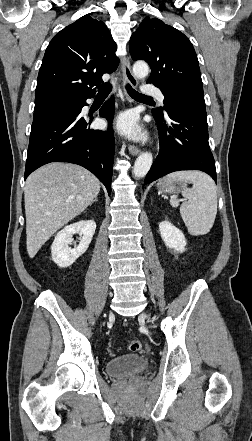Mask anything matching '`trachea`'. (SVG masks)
<instances>
[{
  "label": "trachea",
  "mask_w": 252,
  "mask_h": 441,
  "mask_svg": "<svg viewBox=\"0 0 252 441\" xmlns=\"http://www.w3.org/2000/svg\"><path fill=\"white\" fill-rule=\"evenodd\" d=\"M128 94L134 99H142V100H152V97L145 96L137 91H135L129 84L125 86ZM112 90V85L107 82L98 87V96L106 97Z\"/></svg>",
  "instance_id": "3493384b"
}]
</instances>
